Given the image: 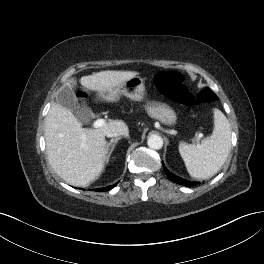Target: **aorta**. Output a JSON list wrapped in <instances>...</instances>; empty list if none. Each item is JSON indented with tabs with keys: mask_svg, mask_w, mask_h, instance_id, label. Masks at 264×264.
Listing matches in <instances>:
<instances>
[{
	"mask_svg": "<svg viewBox=\"0 0 264 264\" xmlns=\"http://www.w3.org/2000/svg\"><path fill=\"white\" fill-rule=\"evenodd\" d=\"M147 144L149 148L159 150L163 147V139L159 135H151L148 140Z\"/></svg>",
	"mask_w": 264,
	"mask_h": 264,
	"instance_id": "762f6f07",
	"label": "aorta"
}]
</instances>
